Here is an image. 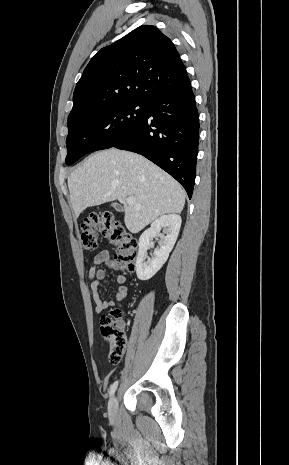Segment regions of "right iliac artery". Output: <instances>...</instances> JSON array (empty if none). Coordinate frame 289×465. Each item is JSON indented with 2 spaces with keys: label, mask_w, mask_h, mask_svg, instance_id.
<instances>
[{
  "label": "right iliac artery",
  "mask_w": 289,
  "mask_h": 465,
  "mask_svg": "<svg viewBox=\"0 0 289 465\" xmlns=\"http://www.w3.org/2000/svg\"><path fill=\"white\" fill-rule=\"evenodd\" d=\"M117 385H118V381H115L111 386H110V389H109V394L110 396H112L117 388Z\"/></svg>",
  "instance_id": "1"
}]
</instances>
